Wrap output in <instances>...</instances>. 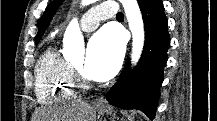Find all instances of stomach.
I'll use <instances>...</instances> for the list:
<instances>
[{"mask_svg": "<svg viewBox=\"0 0 217 121\" xmlns=\"http://www.w3.org/2000/svg\"><path fill=\"white\" fill-rule=\"evenodd\" d=\"M97 111L99 112V114L104 115L105 113H108L109 109L105 107H98Z\"/></svg>", "mask_w": 217, "mask_h": 121, "instance_id": "1", "label": "stomach"}]
</instances>
